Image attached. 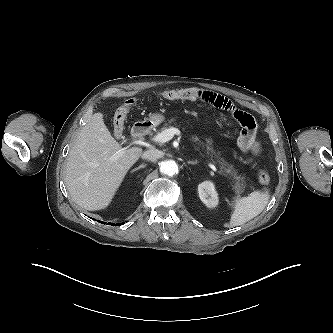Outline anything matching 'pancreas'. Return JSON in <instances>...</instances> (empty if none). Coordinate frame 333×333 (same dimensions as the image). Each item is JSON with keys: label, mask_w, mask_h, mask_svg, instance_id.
I'll return each mask as SVG.
<instances>
[{"label": "pancreas", "mask_w": 333, "mask_h": 333, "mask_svg": "<svg viewBox=\"0 0 333 333\" xmlns=\"http://www.w3.org/2000/svg\"><path fill=\"white\" fill-rule=\"evenodd\" d=\"M168 127H170V126L166 123L161 128V131L168 129ZM150 135H153V134L150 133ZM192 139L194 142H196V144H198V146L201 145L204 147V144L200 141V139L197 136H193ZM205 147H206L207 155H209L211 157H217L218 162L222 165V169L224 170L225 174L231 175L233 177L232 189L234 190V192L237 195H240L242 192H244L245 187H246L245 178L243 176H239L237 174V172L235 171V169L232 167V165L227 163L224 159L218 157L217 153L214 151V149L212 147V142L210 140H206ZM195 148L198 149L199 147L196 146Z\"/></svg>", "instance_id": "pancreas-1"}]
</instances>
